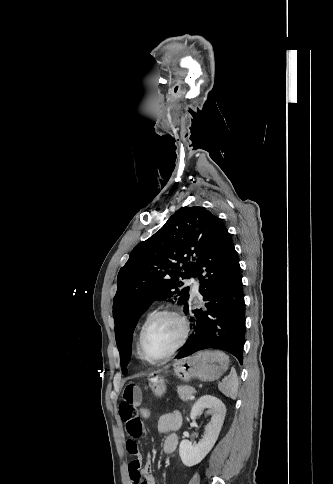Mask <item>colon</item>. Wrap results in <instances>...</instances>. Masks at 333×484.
Instances as JSON below:
<instances>
[{"label": "colon", "instance_id": "obj_1", "mask_svg": "<svg viewBox=\"0 0 333 484\" xmlns=\"http://www.w3.org/2000/svg\"><path fill=\"white\" fill-rule=\"evenodd\" d=\"M140 417L143 421H149L152 417V411L148 407H142L140 409Z\"/></svg>", "mask_w": 333, "mask_h": 484}]
</instances>
